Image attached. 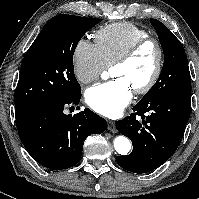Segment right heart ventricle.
<instances>
[{
  "label": "right heart ventricle",
  "instance_id": "right-heart-ventricle-1",
  "mask_svg": "<svg viewBox=\"0 0 199 199\" xmlns=\"http://www.w3.org/2000/svg\"><path fill=\"white\" fill-rule=\"evenodd\" d=\"M146 37L148 33L145 29L130 22L108 24L95 34L106 66H111L134 42Z\"/></svg>",
  "mask_w": 199,
  "mask_h": 199
}]
</instances>
